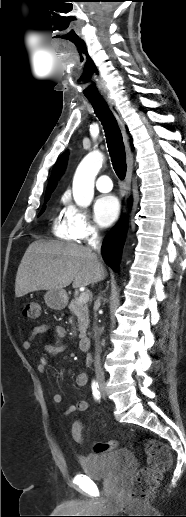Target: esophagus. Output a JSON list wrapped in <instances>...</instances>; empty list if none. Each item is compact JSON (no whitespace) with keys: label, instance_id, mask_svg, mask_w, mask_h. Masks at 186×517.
Segmentation results:
<instances>
[{"label":"esophagus","instance_id":"1","mask_svg":"<svg viewBox=\"0 0 186 517\" xmlns=\"http://www.w3.org/2000/svg\"><path fill=\"white\" fill-rule=\"evenodd\" d=\"M105 100L107 101L110 109L112 110L114 116L116 117L118 124L121 128L125 149H126V156H127V173L125 177V190H126V202L124 206V215L127 213V199L129 197L130 189H131V179H132V171H133V153L130 148L129 144V138L125 130L124 122L121 118L120 112L115 105L114 101L107 95H104Z\"/></svg>","mask_w":186,"mask_h":517}]
</instances>
